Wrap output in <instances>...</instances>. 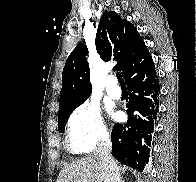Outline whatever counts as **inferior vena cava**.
<instances>
[{"label": "inferior vena cava", "mask_w": 196, "mask_h": 182, "mask_svg": "<svg viewBox=\"0 0 196 182\" xmlns=\"http://www.w3.org/2000/svg\"><path fill=\"white\" fill-rule=\"evenodd\" d=\"M111 151L112 143L110 137L108 134H104L97 143L94 156L100 161L104 182H121L118 173V166L111 156Z\"/></svg>", "instance_id": "obj_1"}]
</instances>
